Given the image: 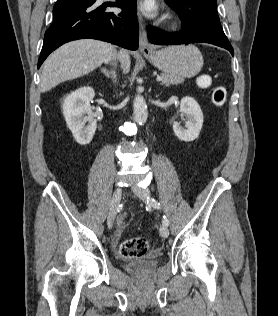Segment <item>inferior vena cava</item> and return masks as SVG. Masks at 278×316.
<instances>
[{
    "instance_id": "602c4592",
    "label": "inferior vena cava",
    "mask_w": 278,
    "mask_h": 316,
    "mask_svg": "<svg viewBox=\"0 0 278 316\" xmlns=\"http://www.w3.org/2000/svg\"><path fill=\"white\" fill-rule=\"evenodd\" d=\"M116 59H119V53L117 54L116 52H114L109 58L107 61H116ZM113 77L115 78V73L113 74Z\"/></svg>"
}]
</instances>
